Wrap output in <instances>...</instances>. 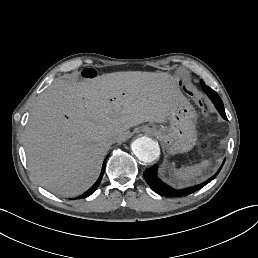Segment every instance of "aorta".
Returning <instances> with one entry per match:
<instances>
[{"label": "aorta", "mask_w": 258, "mask_h": 258, "mask_svg": "<svg viewBox=\"0 0 258 258\" xmlns=\"http://www.w3.org/2000/svg\"><path fill=\"white\" fill-rule=\"evenodd\" d=\"M131 149L135 156L144 163H152L160 155L158 143L146 136L136 139Z\"/></svg>", "instance_id": "obj_1"}]
</instances>
